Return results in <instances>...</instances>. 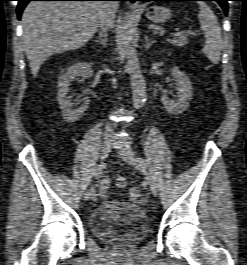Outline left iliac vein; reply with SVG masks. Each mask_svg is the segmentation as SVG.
Listing matches in <instances>:
<instances>
[{"label":"left iliac vein","mask_w":247,"mask_h":265,"mask_svg":"<svg viewBox=\"0 0 247 265\" xmlns=\"http://www.w3.org/2000/svg\"><path fill=\"white\" fill-rule=\"evenodd\" d=\"M118 154L126 163L134 166L135 168L146 174L144 163L136 156L135 152L132 149L127 147H121L118 149ZM148 184L152 194L154 196H157V186L150 177L148 178Z\"/></svg>","instance_id":"4c4485c4"}]
</instances>
